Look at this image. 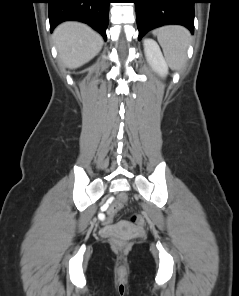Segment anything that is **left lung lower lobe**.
I'll return each instance as SVG.
<instances>
[{"label":"left lung lower lobe","mask_w":239,"mask_h":296,"mask_svg":"<svg viewBox=\"0 0 239 296\" xmlns=\"http://www.w3.org/2000/svg\"><path fill=\"white\" fill-rule=\"evenodd\" d=\"M138 40L165 24L183 25L194 33V3L197 0H134Z\"/></svg>","instance_id":"1"}]
</instances>
